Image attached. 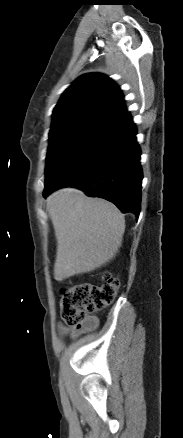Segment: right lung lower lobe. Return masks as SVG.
<instances>
[{
	"label": "right lung lower lobe",
	"mask_w": 183,
	"mask_h": 438,
	"mask_svg": "<svg viewBox=\"0 0 183 438\" xmlns=\"http://www.w3.org/2000/svg\"><path fill=\"white\" fill-rule=\"evenodd\" d=\"M136 127L125 113L97 129L71 161L45 186L47 197L72 186L113 202L123 213H140L142 168Z\"/></svg>",
	"instance_id": "1"
}]
</instances>
